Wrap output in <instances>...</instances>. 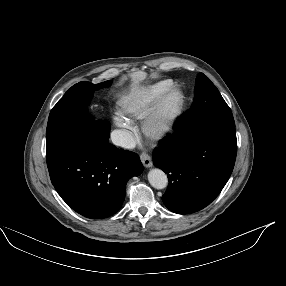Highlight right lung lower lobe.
Instances as JSON below:
<instances>
[{"mask_svg":"<svg viewBox=\"0 0 286 286\" xmlns=\"http://www.w3.org/2000/svg\"><path fill=\"white\" fill-rule=\"evenodd\" d=\"M108 139L80 130L47 145L53 186L73 210L87 218L118 212L128 179L143 171L137 154L116 148Z\"/></svg>","mask_w":286,"mask_h":286,"instance_id":"obj_1","label":"right lung lower lobe"}]
</instances>
